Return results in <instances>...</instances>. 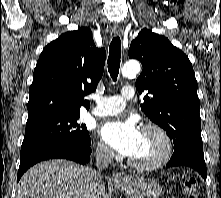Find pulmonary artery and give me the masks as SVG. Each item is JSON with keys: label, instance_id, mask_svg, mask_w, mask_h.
<instances>
[{"label": "pulmonary artery", "instance_id": "1", "mask_svg": "<svg viewBox=\"0 0 221 198\" xmlns=\"http://www.w3.org/2000/svg\"><path fill=\"white\" fill-rule=\"evenodd\" d=\"M134 97V89L131 86H125L120 95L109 97L94 96L97 106L91 111L92 114L100 117L110 116L121 112L126 102Z\"/></svg>", "mask_w": 221, "mask_h": 198}]
</instances>
